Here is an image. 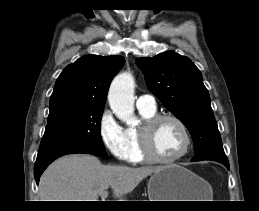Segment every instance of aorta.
<instances>
[{"instance_id":"obj_1","label":"aorta","mask_w":259,"mask_h":211,"mask_svg":"<svg viewBox=\"0 0 259 211\" xmlns=\"http://www.w3.org/2000/svg\"><path fill=\"white\" fill-rule=\"evenodd\" d=\"M134 78L131 73L117 75L111 83L108 101L111 110L127 125L136 122L134 114Z\"/></svg>"}]
</instances>
